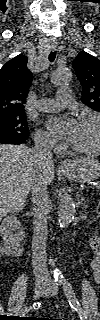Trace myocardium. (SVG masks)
<instances>
[{
    "label": "myocardium",
    "mask_w": 100,
    "mask_h": 320,
    "mask_svg": "<svg viewBox=\"0 0 100 320\" xmlns=\"http://www.w3.org/2000/svg\"><path fill=\"white\" fill-rule=\"evenodd\" d=\"M85 121H92V122H95L97 125L98 134H97L96 145L92 148H78L73 145H71L69 147L72 151H74L76 153L91 155V154H95L100 151V118L97 115L88 114V115L82 116L80 119V122H85Z\"/></svg>",
    "instance_id": "f54148a6"
}]
</instances>
